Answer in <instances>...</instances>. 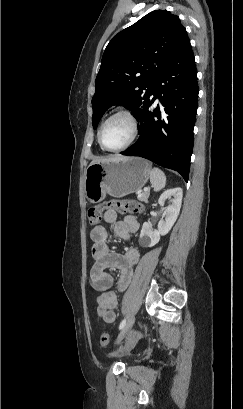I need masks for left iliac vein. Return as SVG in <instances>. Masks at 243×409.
Segmentation results:
<instances>
[{
    "label": "left iliac vein",
    "mask_w": 243,
    "mask_h": 409,
    "mask_svg": "<svg viewBox=\"0 0 243 409\" xmlns=\"http://www.w3.org/2000/svg\"><path fill=\"white\" fill-rule=\"evenodd\" d=\"M135 321V317L131 316V318L129 319V321L127 322V324L125 325V327L121 330V332L119 333L117 339H116V344H119L124 337L130 332L133 324ZM135 340H133L126 348V350H129L131 348V345L134 344Z\"/></svg>",
    "instance_id": "1"
}]
</instances>
